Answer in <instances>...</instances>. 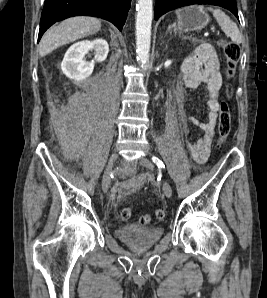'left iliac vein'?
Here are the masks:
<instances>
[{
	"label": "left iliac vein",
	"instance_id": "obj_1",
	"mask_svg": "<svg viewBox=\"0 0 267 298\" xmlns=\"http://www.w3.org/2000/svg\"><path fill=\"white\" fill-rule=\"evenodd\" d=\"M138 162H139V164H141L142 166H144L145 168H147L149 170L154 169V165L146 157H141L138 160ZM163 192H164L165 196L168 197V198H170L172 196V188H171L170 184L167 181L163 182Z\"/></svg>",
	"mask_w": 267,
	"mask_h": 298
}]
</instances>
